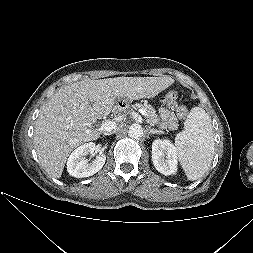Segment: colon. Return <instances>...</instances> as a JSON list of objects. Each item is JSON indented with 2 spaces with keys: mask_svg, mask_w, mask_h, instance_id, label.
Wrapping results in <instances>:
<instances>
[{
  "mask_svg": "<svg viewBox=\"0 0 253 253\" xmlns=\"http://www.w3.org/2000/svg\"><path fill=\"white\" fill-rule=\"evenodd\" d=\"M178 97V92L176 91H172V92H169L165 99L167 101H174L176 98ZM177 113H178V116L181 118V119H184L186 116H187V113H188V108H187V103L186 102H183L181 103L178 108H177Z\"/></svg>",
  "mask_w": 253,
  "mask_h": 253,
  "instance_id": "obj_1",
  "label": "colon"
}]
</instances>
